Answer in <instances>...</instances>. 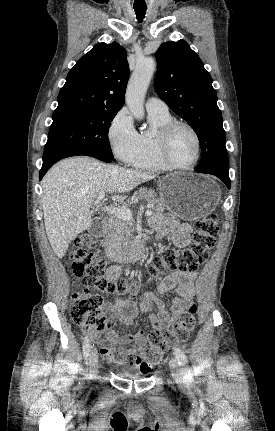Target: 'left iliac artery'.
I'll use <instances>...</instances> for the list:
<instances>
[{
	"label": "left iliac artery",
	"instance_id": "1",
	"mask_svg": "<svg viewBox=\"0 0 275 431\" xmlns=\"http://www.w3.org/2000/svg\"><path fill=\"white\" fill-rule=\"evenodd\" d=\"M173 353H174L179 365L181 366L185 377L187 379H190L191 378V371H190V368L188 366L187 356L185 355L184 351L180 348H175Z\"/></svg>",
	"mask_w": 275,
	"mask_h": 431
}]
</instances>
